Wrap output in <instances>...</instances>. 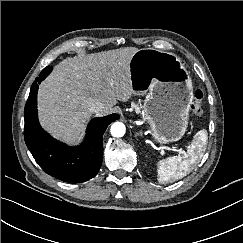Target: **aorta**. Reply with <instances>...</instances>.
<instances>
[{
    "mask_svg": "<svg viewBox=\"0 0 243 243\" xmlns=\"http://www.w3.org/2000/svg\"><path fill=\"white\" fill-rule=\"evenodd\" d=\"M110 131L112 136L119 138L124 136L126 128L122 122H115L112 124Z\"/></svg>",
    "mask_w": 243,
    "mask_h": 243,
    "instance_id": "1",
    "label": "aorta"
}]
</instances>
